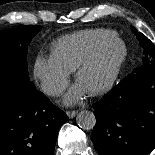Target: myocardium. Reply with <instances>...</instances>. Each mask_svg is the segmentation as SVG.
<instances>
[{"label": "myocardium", "instance_id": "obj_1", "mask_svg": "<svg viewBox=\"0 0 155 155\" xmlns=\"http://www.w3.org/2000/svg\"><path fill=\"white\" fill-rule=\"evenodd\" d=\"M113 43H118L121 46V48H122L121 56L119 57V59L116 63V66L114 68V71H113L112 75L110 76V78L103 85H101L93 90L87 91L92 96L100 95V94L107 92L108 90H110L112 88V86L117 81V79L124 67V64L127 60V56H128V49H127L125 42L117 34L113 37H110V38L102 41L91 52V54L88 57H86L75 69L74 78H75V81L77 83H79V80H80V77L82 76V74L97 61V59L100 57V55L105 50V48H107L109 45H111Z\"/></svg>", "mask_w": 155, "mask_h": 155}]
</instances>
